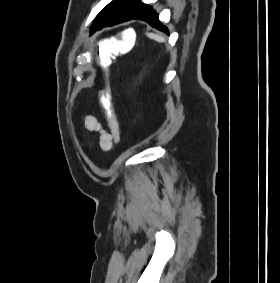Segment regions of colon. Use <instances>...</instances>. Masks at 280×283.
Wrapping results in <instances>:
<instances>
[{
	"instance_id": "obj_1",
	"label": "colon",
	"mask_w": 280,
	"mask_h": 283,
	"mask_svg": "<svg viewBox=\"0 0 280 283\" xmlns=\"http://www.w3.org/2000/svg\"><path fill=\"white\" fill-rule=\"evenodd\" d=\"M122 37H106L104 43L96 45L98 64L103 71H106L111 65L110 55H127L132 50L137 41L136 32L132 25L122 26ZM101 104L105 110L107 120L113 125V132L116 141L119 140L120 132L116 126L117 118L113 108L112 97L107 87L100 91Z\"/></svg>"
}]
</instances>
